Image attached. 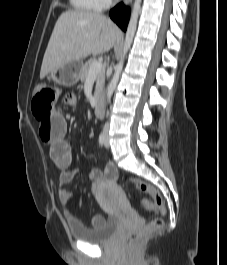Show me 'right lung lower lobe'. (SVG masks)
Wrapping results in <instances>:
<instances>
[{
  "label": "right lung lower lobe",
  "instance_id": "right-lung-lower-lobe-1",
  "mask_svg": "<svg viewBox=\"0 0 227 265\" xmlns=\"http://www.w3.org/2000/svg\"><path fill=\"white\" fill-rule=\"evenodd\" d=\"M110 17L117 25L122 29L126 30L129 21V9L126 8L122 3L118 4L111 12Z\"/></svg>",
  "mask_w": 227,
  "mask_h": 265
}]
</instances>
